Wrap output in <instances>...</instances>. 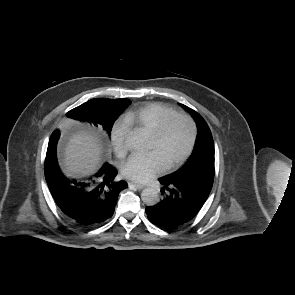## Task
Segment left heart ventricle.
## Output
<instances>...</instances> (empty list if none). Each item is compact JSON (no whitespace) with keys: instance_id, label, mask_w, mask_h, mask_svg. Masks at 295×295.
Returning a JSON list of instances; mask_svg holds the SVG:
<instances>
[{"instance_id":"b2bd125f","label":"left heart ventricle","mask_w":295,"mask_h":295,"mask_svg":"<svg viewBox=\"0 0 295 295\" xmlns=\"http://www.w3.org/2000/svg\"><path fill=\"white\" fill-rule=\"evenodd\" d=\"M190 134L189 123L184 119H176L170 123L160 140L151 137L148 150L156 152L166 166L184 153Z\"/></svg>"}]
</instances>
